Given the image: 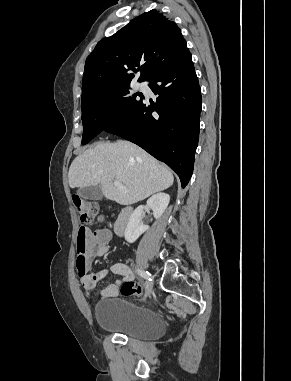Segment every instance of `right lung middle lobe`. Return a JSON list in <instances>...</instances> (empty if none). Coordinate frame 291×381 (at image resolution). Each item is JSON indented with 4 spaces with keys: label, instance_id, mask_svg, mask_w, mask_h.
Returning a JSON list of instances; mask_svg holds the SVG:
<instances>
[{
    "label": "right lung middle lobe",
    "instance_id": "1",
    "mask_svg": "<svg viewBox=\"0 0 291 381\" xmlns=\"http://www.w3.org/2000/svg\"><path fill=\"white\" fill-rule=\"evenodd\" d=\"M137 96L141 94L130 95V85H127L108 90L82 104V144H87L101 131L132 115L143 102V96L141 99Z\"/></svg>",
    "mask_w": 291,
    "mask_h": 381
}]
</instances>
